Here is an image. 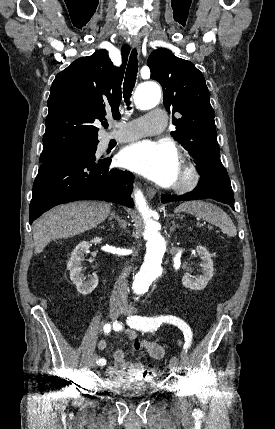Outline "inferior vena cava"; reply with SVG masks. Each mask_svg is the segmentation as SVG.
<instances>
[{"label": "inferior vena cava", "mask_w": 275, "mask_h": 429, "mask_svg": "<svg viewBox=\"0 0 275 429\" xmlns=\"http://www.w3.org/2000/svg\"><path fill=\"white\" fill-rule=\"evenodd\" d=\"M130 271V267L125 268V270L121 273L119 279L116 281L112 295L111 302L112 303H120L123 305L127 304V294H128V284L127 277Z\"/></svg>", "instance_id": "obj_1"}]
</instances>
